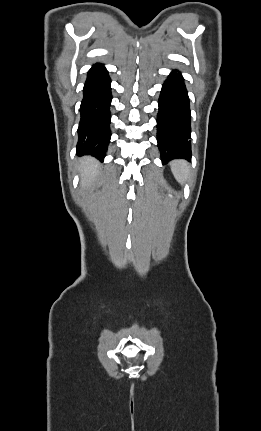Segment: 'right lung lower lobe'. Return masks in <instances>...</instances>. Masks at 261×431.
I'll use <instances>...</instances> for the list:
<instances>
[{
	"label": "right lung lower lobe",
	"mask_w": 261,
	"mask_h": 431,
	"mask_svg": "<svg viewBox=\"0 0 261 431\" xmlns=\"http://www.w3.org/2000/svg\"><path fill=\"white\" fill-rule=\"evenodd\" d=\"M77 153L103 159L110 142L111 80L102 64L89 70L83 89Z\"/></svg>",
	"instance_id": "right-lung-lower-lobe-1"
}]
</instances>
